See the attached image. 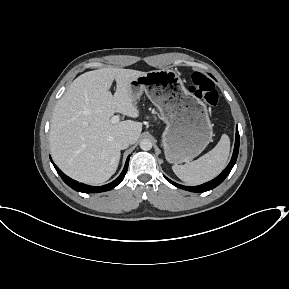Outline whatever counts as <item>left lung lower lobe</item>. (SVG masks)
<instances>
[{
    "label": "left lung lower lobe",
    "mask_w": 289,
    "mask_h": 289,
    "mask_svg": "<svg viewBox=\"0 0 289 289\" xmlns=\"http://www.w3.org/2000/svg\"><path fill=\"white\" fill-rule=\"evenodd\" d=\"M238 152H239V132H238V128L236 129V140H235V147H234V151H233V155L231 158L230 163L228 164V166L223 170V172L216 177L215 179L204 183L202 185L199 186H194V187H190V186H183L180 184H177L173 181H171L170 179H168L167 177L166 180L169 181L171 184H173L176 187H179L181 189L187 190V191H191V192H205L208 190H211L213 188H215L216 186H218L219 184H221L224 179L228 176V174L230 173V171L232 170L236 160H237V156H238Z\"/></svg>",
    "instance_id": "obj_1"
}]
</instances>
